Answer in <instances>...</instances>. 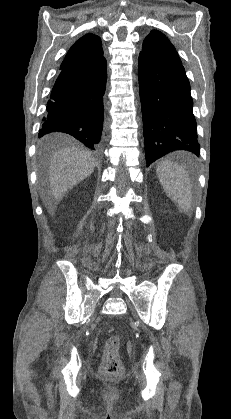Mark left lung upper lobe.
Segmentation results:
<instances>
[{
    "instance_id": "1",
    "label": "left lung upper lobe",
    "mask_w": 231,
    "mask_h": 419,
    "mask_svg": "<svg viewBox=\"0 0 231 419\" xmlns=\"http://www.w3.org/2000/svg\"><path fill=\"white\" fill-rule=\"evenodd\" d=\"M141 53L153 59L173 64H181V60L175 47L163 33L157 30H152L150 34L146 36Z\"/></svg>"
}]
</instances>
